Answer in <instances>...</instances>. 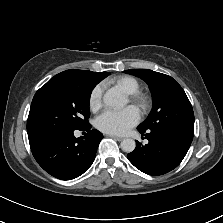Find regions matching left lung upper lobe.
Wrapping results in <instances>:
<instances>
[{
  "mask_svg": "<svg viewBox=\"0 0 223 223\" xmlns=\"http://www.w3.org/2000/svg\"><path fill=\"white\" fill-rule=\"evenodd\" d=\"M128 74L142 78L152 94L153 107L140 130H172L194 136V113L182 87L170 76L148 69H130Z\"/></svg>",
  "mask_w": 223,
  "mask_h": 223,
  "instance_id": "obj_1",
  "label": "left lung upper lobe"
}]
</instances>
